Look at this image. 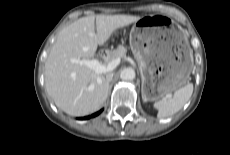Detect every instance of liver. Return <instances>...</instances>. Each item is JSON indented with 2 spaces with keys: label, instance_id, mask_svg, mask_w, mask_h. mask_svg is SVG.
<instances>
[{
  "label": "liver",
  "instance_id": "1",
  "mask_svg": "<svg viewBox=\"0 0 230 155\" xmlns=\"http://www.w3.org/2000/svg\"><path fill=\"white\" fill-rule=\"evenodd\" d=\"M139 18L133 15L88 16L59 32L44 72L47 93L59 109L72 116H84L102 107L109 90L105 73L97 74L71 59L91 60L98 45H103L116 29Z\"/></svg>",
  "mask_w": 230,
  "mask_h": 155
}]
</instances>
